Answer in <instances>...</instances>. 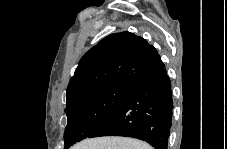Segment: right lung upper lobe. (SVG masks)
<instances>
[{
	"label": "right lung upper lobe",
	"instance_id": "obj_1",
	"mask_svg": "<svg viewBox=\"0 0 227 149\" xmlns=\"http://www.w3.org/2000/svg\"><path fill=\"white\" fill-rule=\"evenodd\" d=\"M156 49L130 32L111 34L80 60L66 91L67 106L84 94L111 84L134 87L163 69Z\"/></svg>",
	"mask_w": 227,
	"mask_h": 149
}]
</instances>
